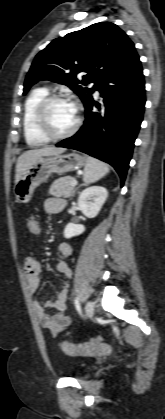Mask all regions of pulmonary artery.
<instances>
[{
    "mask_svg": "<svg viewBox=\"0 0 165 419\" xmlns=\"http://www.w3.org/2000/svg\"><path fill=\"white\" fill-rule=\"evenodd\" d=\"M95 94L98 96L99 95V91H96Z\"/></svg>",
    "mask_w": 165,
    "mask_h": 419,
    "instance_id": "1",
    "label": "pulmonary artery"
}]
</instances>
